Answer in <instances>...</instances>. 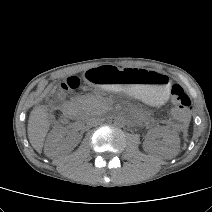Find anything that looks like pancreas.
<instances>
[{
    "mask_svg": "<svg viewBox=\"0 0 212 212\" xmlns=\"http://www.w3.org/2000/svg\"><path fill=\"white\" fill-rule=\"evenodd\" d=\"M74 102L83 112L86 113L90 111L99 110L103 106L102 99L94 96H78L75 98Z\"/></svg>",
    "mask_w": 212,
    "mask_h": 212,
    "instance_id": "cf45deb5",
    "label": "pancreas"
}]
</instances>
